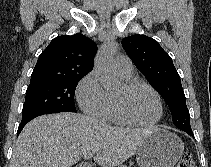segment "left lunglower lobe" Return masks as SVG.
Returning a JSON list of instances; mask_svg holds the SVG:
<instances>
[{
  "label": "left lung lower lobe",
  "mask_w": 211,
  "mask_h": 167,
  "mask_svg": "<svg viewBox=\"0 0 211 167\" xmlns=\"http://www.w3.org/2000/svg\"><path fill=\"white\" fill-rule=\"evenodd\" d=\"M183 131H185L186 133H188L190 136H193L194 137L191 129H187V130H183Z\"/></svg>",
  "instance_id": "left-lung-lower-lobe-1"
}]
</instances>
